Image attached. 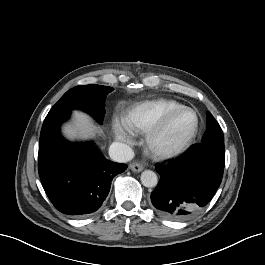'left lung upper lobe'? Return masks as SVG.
I'll use <instances>...</instances> for the list:
<instances>
[{
  "label": "left lung upper lobe",
  "instance_id": "1",
  "mask_svg": "<svg viewBox=\"0 0 265 265\" xmlns=\"http://www.w3.org/2000/svg\"><path fill=\"white\" fill-rule=\"evenodd\" d=\"M209 141L224 143V135L222 129L210 112H208L207 114V130L202 139V143Z\"/></svg>",
  "mask_w": 265,
  "mask_h": 265
}]
</instances>
